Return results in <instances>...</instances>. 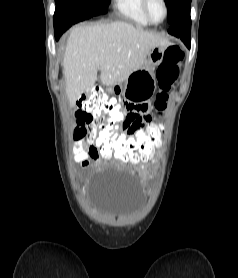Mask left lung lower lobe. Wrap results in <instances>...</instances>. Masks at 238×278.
I'll return each instance as SVG.
<instances>
[{
  "mask_svg": "<svg viewBox=\"0 0 238 278\" xmlns=\"http://www.w3.org/2000/svg\"><path fill=\"white\" fill-rule=\"evenodd\" d=\"M168 32L180 38L187 47H190L191 18L190 6L186 7L169 25Z\"/></svg>",
  "mask_w": 238,
  "mask_h": 278,
  "instance_id": "obj_1",
  "label": "left lung lower lobe"
}]
</instances>
